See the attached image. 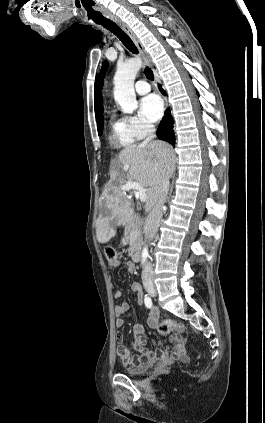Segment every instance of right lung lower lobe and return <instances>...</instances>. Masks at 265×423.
Returning a JSON list of instances; mask_svg holds the SVG:
<instances>
[{"label": "right lung lower lobe", "mask_w": 265, "mask_h": 423, "mask_svg": "<svg viewBox=\"0 0 265 423\" xmlns=\"http://www.w3.org/2000/svg\"><path fill=\"white\" fill-rule=\"evenodd\" d=\"M161 92L164 93L163 90H161ZM157 136L160 140H164L173 146L175 145V135L173 132V119L171 117L169 110L165 112V116L163 117L162 121L159 124L158 130H157Z\"/></svg>", "instance_id": "right-lung-lower-lobe-1"}]
</instances>
